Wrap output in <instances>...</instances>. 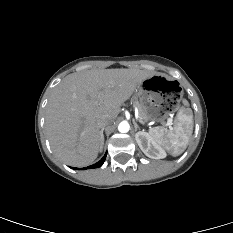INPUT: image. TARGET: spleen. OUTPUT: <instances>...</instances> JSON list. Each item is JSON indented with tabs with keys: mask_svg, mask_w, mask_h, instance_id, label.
<instances>
[{
	"mask_svg": "<svg viewBox=\"0 0 233 233\" xmlns=\"http://www.w3.org/2000/svg\"><path fill=\"white\" fill-rule=\"evenodd\" d=\"M187 105V101H183ZM193 132V113L183 106L176 115L173 127L152 128L149 132L154 141L164 147L171 155L178 156L186 149Z\"/></svg>",
	"mask_w": 233,
	"mask_h": 233,
	"instance_id": "1",
	"label": "spleen"
}]
</instances>
